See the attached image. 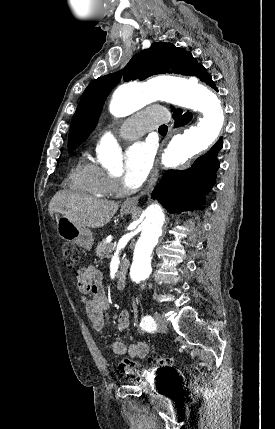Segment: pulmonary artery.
I'll return each mask as SVG.
<instances>
[{"mask_svg":"<svg viewBox=\"0 0 275 429\" xmlns=\"http://www.w3.org/2000/svg\"><path fill=\"white\" fill-rule=\"evenodd\" d=\"M168 113L161 107H149L129 118L121 127L119 136L123 139H136L149 130L167 123Z\"/></svg>","mask_w":275,"mask_h":429,"instance_id":"obj_1","label":"pulmonary artery"}]
</instances>
